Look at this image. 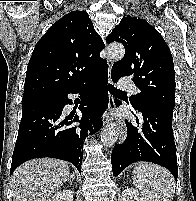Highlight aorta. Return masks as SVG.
I'll return each mask as SVG.
<instances>
[{"mask_svg": "<svg viewBox=\"0 0 196 201\" xmlns=\"http://www.w3.org/2000/svg\"><path fill=\"white\" fill-rule=\"evenodd\" d=\"M107 54L110 57V59L113 60H121L124 57L125 49L122 44H111L107 48ZM119 127L116 124H110L108 125L102 135H101V141L106 147L113 146L119 137Z\"/></svg>", "mask_w": 196, "mask_h": 201, "instance_id": "762f6f07", "label": "aorta"}]
</instances>
